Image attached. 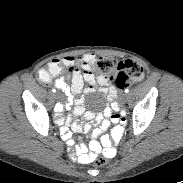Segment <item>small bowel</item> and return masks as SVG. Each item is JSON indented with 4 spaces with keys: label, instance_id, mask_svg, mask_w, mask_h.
Segmentation results:
<instances>
[{
    "label": "small bowel",
    "instance_id": "obj_1",
    "mask_svg": "<svg viewBox=\"0 0 183 183\" xmlns=\"http://www.w3.org/2000/svg\"><path fill=\"white\" fill-rule=\"evenodd\" d=\"M96 62V56L92 53H85L78 57H65L52 60L45 69H54L56 74L63 70L71 72V84L67 85L63 79L55 80V85L68 95L64 103L54 102L51 105L52 112L55 113L54 120L59 125L58 132L60 140L68 148H73L72 153L77 158L93 157L95 153L104 149L105 157L113 160L116 157L114 150L120 137L124 135V124L132 120L133 115L130 111L124 110L115 102L117 90L114 84L109 85L108 78L103 75L96 76L93 73V67ZM44 70V69H42ZM52 81V80H51ZM50 81V82H51ZM48 82V83H50ZM99 90L102 95L107 97L109 103L103 112L94 113L85 112V98L75 97V95L84 92L86 95ZM72 105L74 116H84L85 121L79 122L74 116L64 117L61 112L69 109ZM111 123L119 124L112 128V135L105 134ZM75 132H92L93 140L86 144L83 139L77 142L69 132V127ZM90 151V153H87Z\"/></svg>",
    "mask_w": 183,
    "mask_h": 183
}]
</instances>
